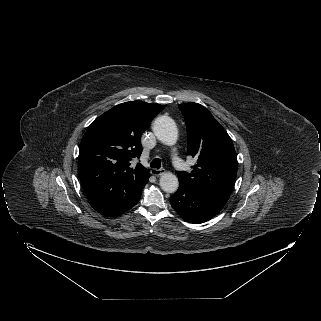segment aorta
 <instances>
[{
	"mask_svg": "<svg viewBox=\"0 0 321 321\" xmlns=\"http://www.w3.org/2000/svg\"><path fill=\"white\" fill-rule=\"evenodd\" d=\"M153 132L162 143L172 146L177 142L178 129L174 120L168 116L158 117L153 123ZM160 187L167 193L177 191L179 181L176 175L170 172L164 173L159 180Z\"/></svg>",
	"mask_w": 321,
	"mask_h": 321,
	"instance_id": "1",
	"label": "aorta"
}]
</instances>
